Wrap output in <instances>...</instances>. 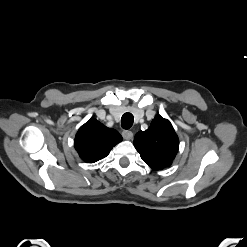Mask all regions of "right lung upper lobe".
I'll return each mask as SVG.
<instances>
[{
    "instance_id": "1",
    "label": "right lung upper lobe",
    "mask_w": 247,
    "mask_h": 247,
    "mask_svg": "<svg viewBox=\"0 0 247 247\" xmlns=\"http://www.w3.org/2000/svg\"><path fill=\"white\" fill-rule=\"evenodd\" d=\"M122 141L115 129L107 128L94 118L82 125L78 130L74 146L81 159L94 163L105 158L111 149Z\"/></svg>"
}]
</instances>
